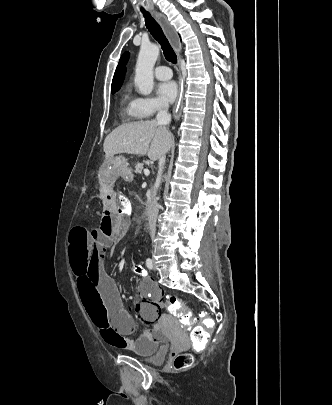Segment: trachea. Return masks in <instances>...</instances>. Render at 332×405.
Listing matches in <instances>:
<instances>
[{
	"instance_id": "1",
	"label": "trachea",
	"mask_w": 332,
	"mask_h": 405,
	"mask_svg": "<svg viewBox=\"0 0 332 405\" xmlns=\"http://www.w3.org/2000/svg\"><path fill=\"white\" fill-rule=\"evenodd\" d=\"M142 13L145 18L147 29L154 37V39L157 40L161 45L165 59L173 64H176L177 56L172 46L170 45L169 41L167 40L166 36L164 35L162 28L147 11H142Z\"/></svg>"
}]
</instances>
